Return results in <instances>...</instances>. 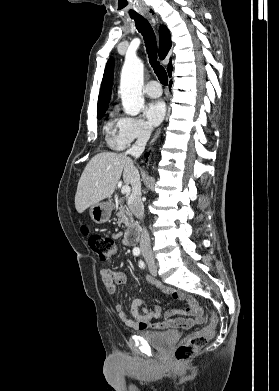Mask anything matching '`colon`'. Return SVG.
<instances>
[{
  "label": "colon",
  "instance_id": "5ec220e1",
  "mask_svg": "<svg viewBox=\"0 0 279 391\" xmlns=\"http://www.w3.org/2000/svg\"><path fill=\"white\" fill-rule=\"evenodd\" d=\"M83 232L88 235V230L83 229ZM88 244L92 251L103 262H108L117 252L116 242L109 237H104L99 234H91L88 236ZM217 324V317L212 314L209 324L194 332L182 341L174 351V358L177 362H185L192 358L200 349H202L214 333Z\"/></svg>",
  "mask_w": 279,
  "mask_h": 391
}]
</instances>
